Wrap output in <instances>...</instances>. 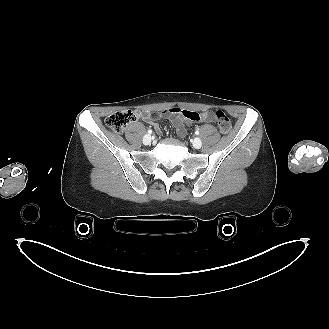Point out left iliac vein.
I'll return each mask as SVG.
<instances>
[{
    "label": "left iliac vein",
    "instance_id": "1",
    "mask_svg": "<svg viewBox=\"0 0 329 329\" xmlns=\"http://www.w3.org/2000/svg\"><path fill=\"white\" fill-rule=\"evenodd\" d=\"M194 148L199 149L202 146V141L200 138H195L192 142Z\"/></svg>",
    "mask_w": 329,
    "mask_h": 329
}]
</instances>
